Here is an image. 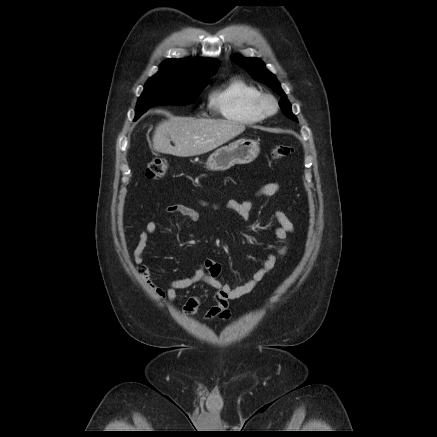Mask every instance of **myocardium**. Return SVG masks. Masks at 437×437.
<instances>
[{
    "instance_id": "obj_1",
    "label": "myocardium",
    "mask_w": 437,
    "mask_h": 437,
    "mask_svg": "<svg viewBox=\"0 0 437 437\" xmlns=\"http://www.w3.org/2000/svg\"><path fill=\"white\" fill-rule=\"evenodd\" d=\"M255 106L264 117L274 115L279 107L276 98L268 93H261L256 99Z\"/></svg>"
}]
</instances>
